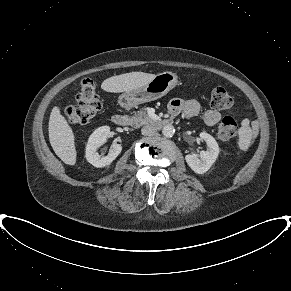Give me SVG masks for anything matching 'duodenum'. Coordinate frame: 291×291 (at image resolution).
I'll return each mask as SVG.
<instances>
[{
    "label": "duodenum",
    "instance_id": "410a0bca",
    "mask_svg": "<svg viewBox=\"0 0 291 291\" xmlns=\"http://www.w3.org/2000/svg\"><path fill=\"white\" fill-rule=\"evenodd\" d=\"M113 122L118 126H127L129 118L124 114H115L112 118ZM172 121L169 119L161 120L157 123L159 127L170 124Z\"/></svg>",
    "mask_w": 291,
    "mask_h": 291
}]
</instances>
